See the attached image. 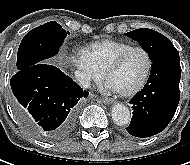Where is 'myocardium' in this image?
I'll return each mask as SVG.
<instances>
[{
  "instance_id": "f54148a6",
  "label": "myocardium",
  "mask_w": 190,
  "mask_h": 165,
  "mask_svg": "<svg viewBox=\"0 0 190 165\" xmlns=\"http://www.w3.org/2000/svg\"><path fill=\"white\" fill-rule=\"evenodd\" d=\"M135 50H139L144 53V55L146 56V59H147V67H146L143 77L134 87H132L128 90H123V91L115 90L121 96H132V95L136 94L137 92H139L145 86V84L151 74L152 67H153V59H152L150 52L143 46H139V45L130 46V47L126 48L125 50L121 51L111 61V63L108 65V67L106 68V70L104 72L105 80L108 81V78L111 75V73L114 72L120 66V64L122 63L124 58L130 52L135 51Z\"/></svg>"
}]
</instances>
